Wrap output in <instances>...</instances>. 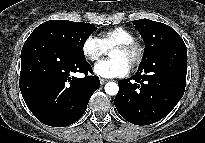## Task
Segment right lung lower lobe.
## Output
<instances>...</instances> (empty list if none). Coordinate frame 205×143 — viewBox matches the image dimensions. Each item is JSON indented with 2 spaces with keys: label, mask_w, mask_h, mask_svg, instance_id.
<instances>
[{
  "label": "right lung lower lobe",
  "mask_w": 205,
  "mask_h": 143,
  "mask_svg": "<svg viewBox=\"0 0 205 143\" xmlns=\"http://www.w3.org/2000/svg\"><path fill=\"white\" fill-rule=\"evenodd\" d=\"M85 73L77 78L73 73ZM85 58L45 38L29 36L21 51L19 86L26 105L42 123L65 127L81 118L100 87Z\"/></svg>",
  "instance_id": "98d812e1"
}]
</instances>
